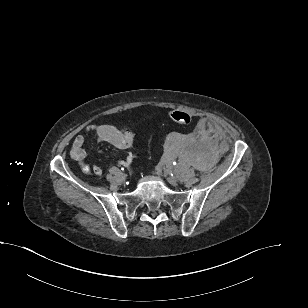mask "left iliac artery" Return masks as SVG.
Masks as SVG:
<instances>
[{
    "label": "left iliac artery",
    "mask_w": 308,
    "mask_h": 308,
    "mask_svg": "<svg viewBox=\"0 0 308 308\" xmlns=\"http://www.w3.org/2000/svg\"><path fill=\"white\" fill-rule=\"evenodd\" d=\"M173 165H176V162H173ZM172 175V174H171Z\"/></svg>",
    "instance_id": "1"
}]
</instances>
